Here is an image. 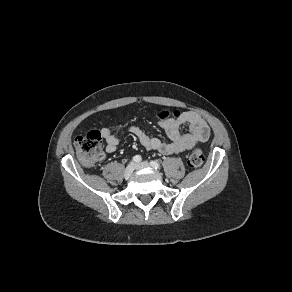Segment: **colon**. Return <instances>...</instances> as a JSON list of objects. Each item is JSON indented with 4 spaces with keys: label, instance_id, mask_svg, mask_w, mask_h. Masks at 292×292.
Here are the masks:
<instances>
[{
    "label": "colon",
    "instance_id": "5ec220e1",
    "mask_svg": "<svg viewBox=\"0 0 292 292\" xmlns=\"http://www.w3.org/2000/svg\"><path fill=\"white\" fill-rule=\"evenodd\" d=\"M175 114V112L173 113ZM170 115L166 111H161L158 116ZM76 153L79 159L86 166L95 165L103 155L102 151V134L98 130H92L86 135L79 136L75 140ZM204 162L203 151L195 148L188 157V165L191 168L200 167Z\"/></svg>",
    "mask_w": 292,
    "mask_h": 292
}]
</instances>
